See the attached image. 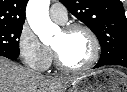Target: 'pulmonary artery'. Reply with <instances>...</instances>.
I'll use <instances>...</instances> for the list:
<instances>
[{
    "mask_svg": "<svg viewBox=\"0 0 127 92\" xmlns=\"http://www.w3.org/2000/svg\"><path fill=\"white\" fill-rule=\"evenodd\" d=\"M50 17L57 23L63 24L67 21V10L61 3H54L49 8Z\"/></svg>",
    "mask_w": 127,
    "mask_h": 92,
    "instance_id": "e3ab8cb5",
    "label": "pulmonary artery"
}]
</instances>
